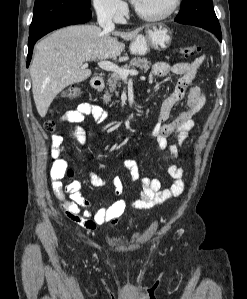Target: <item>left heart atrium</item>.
Here are the masks:
<instances>
[{"label": "left heart atrium", "mask_w": 247, "mask_h": 299, "mask_svg": "<svg viewBox=\"0 0 247 299\" xmlns=\"http://www.w3.org/2000/svg\"><path fill=\"white\" fill-rule=\"evenodd\" d=\"M139 0H131L132 3H134L135 5L137 4Z\"/></svg>", "instance_id": "39dd6f15"}]
</instances>
